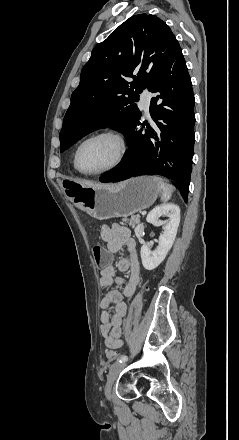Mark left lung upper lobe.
<instances>
[{
  "instance_id": "obj_1",
  "label": "left lung upper lobe",
  "mask_w": 239,
  "mask_h": 440,
  "mask_svg": "<svg viewBox=\"0 0 239 440\" xmlns=\"http://www.w3.org/2000/svg\"><path fill=\"white\" fill-rule=\"evenodd\" d=\"M177 43L160 18L138 14L97 44L72 93L60 152L95 129L110 126L125 134L141 115L133 102L160 74Z\"/></svg>"
}]
</instances>
